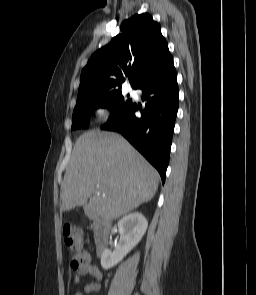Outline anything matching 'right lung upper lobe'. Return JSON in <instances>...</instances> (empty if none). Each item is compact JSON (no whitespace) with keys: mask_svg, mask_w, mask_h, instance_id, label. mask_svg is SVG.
<instances>
[{"mask_svg":"<svg viewBox=\"0 0 256 295\" xmlns=\"http://www.w3.org/2000/svg\"><path fill=\"white\" fill-rule=\"evenodd\" d=\"M120 30L121 34L96 51L82 70L77 100L122 94L127 75L135 89L171 57L160 25L151 15H134L122 23Z\"/></svg>","mask_w":256,"mask_h":295,"instance_id":"1","label":"right lung upper lobe"}]
</instances>
